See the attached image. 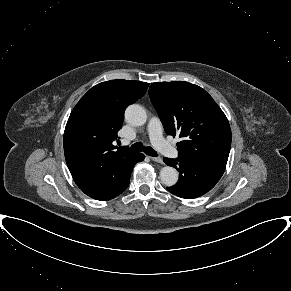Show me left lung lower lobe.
Returning a JSON list of instances; mask_svg holds the SVG:
<instances>
[{
  "instance_id": "left-lung-lower-lobe-1",
  "label": "left lung lower lobe",
  "mask_w": 291,
  "mask_h": 291,
  "mask_svg": "<svg viewBox=\"0 0 291 291\" xmlns=\"http://www.w3.org/2000/svg\"><path fill=\"white\" fill-rule=\"evenodd\" d=\"M168 166L179 171V180L167 189L174 195L193 199L210 191L224 173L226 163L213 160L164 158Z\"/></svg>"
}]
</instances>
